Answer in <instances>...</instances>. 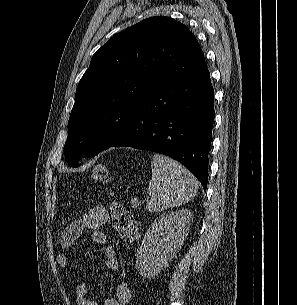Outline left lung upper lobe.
Masks as SVG:
<instances>
[{
  "label": "left lung upper lobe",
  "mask_w": 297,
  "mask_h": 305,
  "mask_svg": "<svg viewBox=\"0 0 297 305\" xmlns=\"http://www.w3.org/2000/svg\"><path fill=\"white\" fill-rule=\"evenodd\" d=\"M206 67L190 30L165 16L118 33L92 57L69 118L66 160L78 167L113 142L133 109L162 83Z\"/></svg>",
  "instance_id": "5c2ea615"
}]
</instances>
